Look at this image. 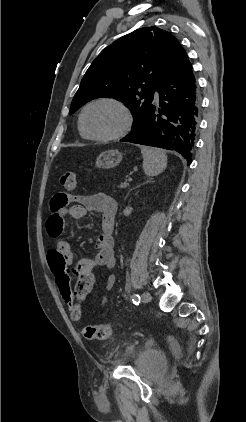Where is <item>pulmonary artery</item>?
Masks as SVG:
<instances>
[{"label": "pulmonary artery", "mask_w": 246, "mask_h": 422, "mask_svg": "<svg viewBox=\"0 0 246 422\" xmlns=\"http://www.w3.org/2000/svg\"><path fill=\"white\" fill-rule=\"evenodd\" d=\"M155 97H156V98L158 97V93H157V92H155Z\"/></svg>", "instance_id": "obj_1"}]
</instances>
